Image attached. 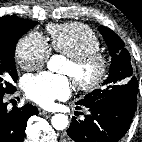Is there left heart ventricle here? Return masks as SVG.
Returning a JSON list of instances; mask_svg holds the SVG:
<instances>
[{
    "mask_svg": "<svg viewBox=\"0 0 142 142\" xmlns=\"http://www.w3.org/2000/svg\"><path fill=\"white\" fill-rule=\"evenodd\" d=\"M63 72L66 73V74H69V75H72L74 70H73V66L70 64V62H67L63 68ZM95 72V68L94 67H91L89 69H87L85 71V75L86 76H92Z\"/></svg>",
    "mask_w": 142,
    "mask_h": 142,
    "instance_id": "obj_1",
    "label": "left heart ventricle"
}]
</instances>
